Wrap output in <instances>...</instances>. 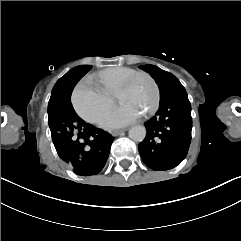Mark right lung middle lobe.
Wrapping results in <instances>:
<instances>
[{"mask_svg":"<svg viewBox=\"0 0 241 241\" xmlns=\"http://www.w3.org/2000/svg\"><path fill=\"white\" fill-rule=\"evenodd\" d=\"M75 68L71 69L60 78L51 92V97L48 103V123L53 141L58 137L59 132H61L60 124L63 117L75 113L72 104L70 103L72 91L68 88V80L71 74L75 71Z\"/></svg>","mask_w":241,"mask_h":241,"instance_id":"obj_1","label":"right lung middle lobe"}]
</instances>
